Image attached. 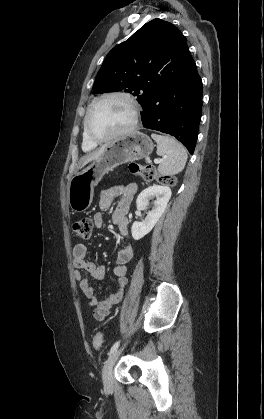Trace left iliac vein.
<instances>
[{"label":"left iliac vein","mask_w":264,"mask_h":419,"mask_svg":"<svg viewBox=\"0 0 264 419\" xmlns=\"http://www.w3.org/2000/svg\"><path fill=\"white\" fill-rule=\"evenodd\" d=\"M121 353V349L115 350L107 359L104 368H103V383L105 389L109 390L112 388V379H113V366L115 365L119 355Z\"/></svg>","instance_id":"4c4485c4"}]
</instances>
